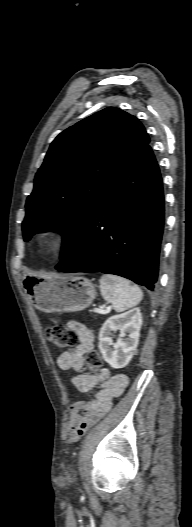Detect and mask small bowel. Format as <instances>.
<instances>
[{
    "label": "small bowel",
    "instance_id": "obj_1",
    "mask_svg": "<svg viewBox=\"0 0 192 527\" xmlns=\"http://www.w3.org/2000/svg\"><path fill=\"white\" fill-rule=\"evenodd\" d=\"M68 327L76 332L79 342L73 349L58 356V367L62 370L78 372L71 378V383L80 392H90L102 382L92 399L76 402L70 408L67 438L70 442H75L110 410L113 399L123 393L128 379L124 374L110 376L107 370H104L100 376L81 373L85 356L93 349L94 335L89 328L78 321H69Z\"/></svg>",
    "mask_w": 192,
    "mask_h": 527
}]
</instances>
